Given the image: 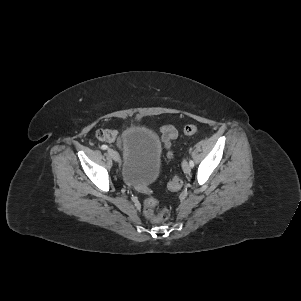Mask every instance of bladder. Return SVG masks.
<instances>
[{
	"label": "bladder",
	"instance_id": "31cf9c89",
	"mask_svg": "<svg viewBox=\"0 0 301 301\" xmlns=\"http://www.w3.org/2000/svg\"><path fill=\"white\" fill-rule=\"evenodd\" d=\"M161 147L153 132L133 124L123 134V179L133 185L153 182L160 170Z\"/></svg>",
	"mask_w": 301,
	"mask_h": 301
}]
</instances>
